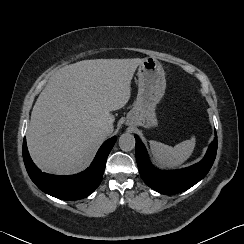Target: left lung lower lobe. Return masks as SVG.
<instances>
[{
    "instance_id": "obj_1",
    "label": "left lung lower lobe",
    "mask_w": 244,
    "mask_h": 244,
    "mask_svg": "<svg viewBox=\"0 0 244 244\" xmlns=\"http://www.w3.org/2000/svg\"><path fill=\"white\" fill-rule=\"evenodd\" d=\"M135 139L136 160L142 179L149 187L166 195L183 192L203 179L209 172L217 152V140L215 139L199 163L180 170L162 171L151 164L139 137L135 136Z\"/></svg>"
}]
</instances>
